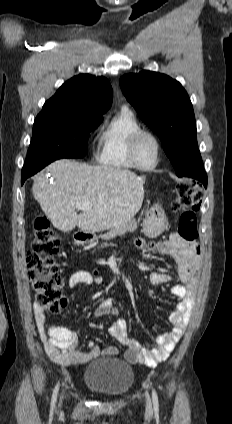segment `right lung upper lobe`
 <instances>
[{
	"instance_id": "cb5924a9",
	"label": "right lung upper lobe",
	"mask_w": 232,
	"mask_h": 424,
	"mask_svg": "<svg viewBox=\"0 0 232 424\" xmlns=\"http://www.w3.org/2000/svg\"><path fill=\"white\" fill-rule=\"evenodd\" d=\"M111 103L112 88L109 81L105 77L82 74L65 82L56 94L45 102L42 111L74 110L102 118Z\"/></svg>"
}]
</instances>
